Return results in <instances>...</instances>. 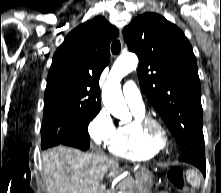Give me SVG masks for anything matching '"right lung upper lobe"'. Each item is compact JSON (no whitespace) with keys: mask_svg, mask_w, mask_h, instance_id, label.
<instances>
[{"mask_svg":"<svg viewBox=\"0 0 221 193\" xmlns=\"http://www.w3.org/2000/svg\"><path fill=\"white\" fill-rule=\"evenodd\" d=\"M119 34L102 16L79 25L56 50L47 77L44 112L100 110L99 78Z\"/></svg>","mask_w":221,"mask_h":193,"instance_id":"1","label":"right lung upper lobe"}]
</instances>
